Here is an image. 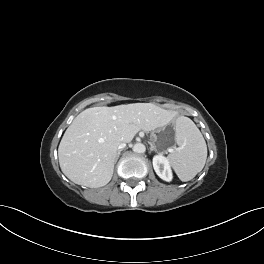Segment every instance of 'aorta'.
Instances as JSON below:
<instances>
[{"instance_id":"1","label":"aorta","mask_w":264,"mask_h":264,"mask_svg":"<svg viewBox=\"0 0 264 264\" xmlns=\"http://www.w3.org/2000/svg\"><path fill=\"white\" fill-rule=\"evenodd\" d=\"M132 150L135 153H144L145 150H146V148H145V145L144 144H142V143H136V144L133 145Z\"/></svg>"}]
</instances>
